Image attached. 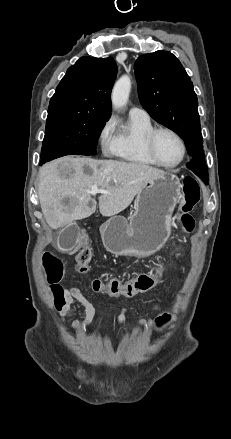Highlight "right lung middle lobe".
I'll use <instances>...</instances> for the list:
<instances>
[{"label": "right lung middle lobe", "mask_w": 231, "mask_h": 439, "mask_svg": "<svg viewBox=\"0 0 231 439\" xmlns=\"http://www.w3.org/2000/svg\"><path fill=\"white\" fill-rule=\"evenodd\" d=\"M108 117L63 114L47 117L41 163L65 155H96V145Z\"/></svg>", "instance_id": "1"}]
</instances>
